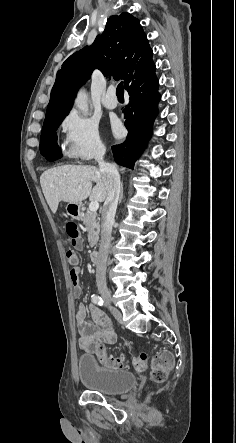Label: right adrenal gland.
Listing matches in <instances>:
<instances>
[{
    "instance_id": "obj_1",
    "label": "right adrenal gland",
    "mask_w": 236,
    "mask_h": 443,
    "mask_svg": "<svg viewBox=\"0 0 236 443\" xmlns=\"http://www.w3.org/2000/svg\"><path fill=\"white\" fill-rule=\"evenodd\" d=\"M123 199V184L120 185V197H119V204L122 202Z\"/></svg>"
}]
</instances>
